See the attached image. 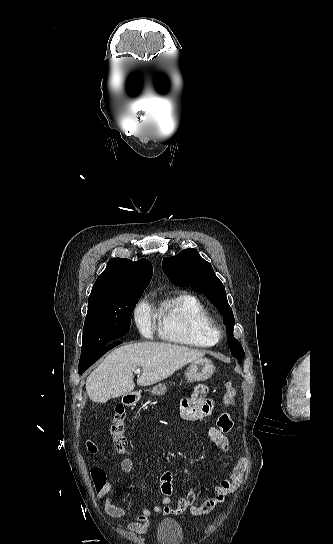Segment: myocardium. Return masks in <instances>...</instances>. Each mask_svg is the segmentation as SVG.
Segmentation results:
<instances>
[{"label":"myocardium","mask_w":333,"mask_h":544,"mask_svg":"<svg viewBox=\"0 0 333 544\" xmlns=\"http://www.w3.org/2000/svg\"><path fill=\"white\" fill-rule=\"evenodd\" d=\"M213 333H214V336L217 338H219L221 335H222V329L216 325H213Z\"/></svg>","instance_id":"myocardium-1"}]
</instances>
